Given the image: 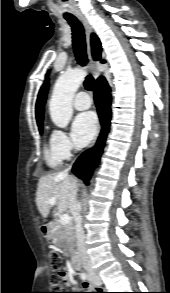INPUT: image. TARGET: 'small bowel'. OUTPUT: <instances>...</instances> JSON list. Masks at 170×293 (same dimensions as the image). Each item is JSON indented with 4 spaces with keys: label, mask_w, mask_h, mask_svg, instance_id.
Masks as SVG:
<instances>
[{
    "label": "small bowel",
    "mask_w": 170,
    "mask_h": 293,
    "mask_svg": "<svg viewBox=\"0 0 170 293\" xmlns=\"http://www.w3.org/2000/svg\"><path fill=\"white\" fill-rule=\"evenodd\" d=\"M67 283H68V286L73 287V288L76 287V285H77L76 281L73 278H69ZM83 285L85 288H90L86 282H84ZM90 293H99V292L97 290L92 289V292H90Z\"/></svg>",
    "instance_id": "1"
}]
</instances>
